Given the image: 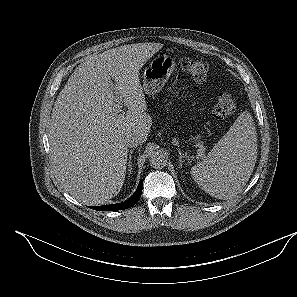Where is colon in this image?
I'll use <instances>...</instances> for the list:
<instances>
[{"instance_id":"obj_1","label":"colon","mask_w":297,"mask_h":297,"mask_svg":"<svg viewBox=\"0 0 297 297\" xmlns=\"http://www.w3.org/2000/svg\"><path fill=\"white\" fill-rule=\"evenodd\" d=\"M182 69L195 81L203 82L207 79L209 66L206 62L195 59H182ZM236 102L229 94H220L215 102L213 114L218 119L232 115L236 110Z\"/></svg>"}]
</instances>
